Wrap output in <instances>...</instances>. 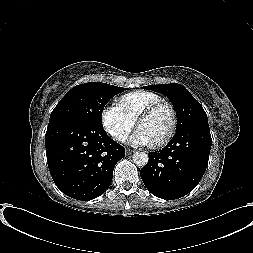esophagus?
<instances>
[{
  "mask_svg": "<svg viewBox=\"0 0 253 253\" xmlns=\"http://www.w3.org/2000/svg\"><path fill=\"white\" fill-rule=\"evenodd\" d=\"M133 152H134V150L126 149V154H127V155H131Z\"/></svg>",
  "mask_w": 253,
  "mask_h": 253,
  "instance_id": "esophagus-1",
  "label": "esophagus"
}]
</instances>
